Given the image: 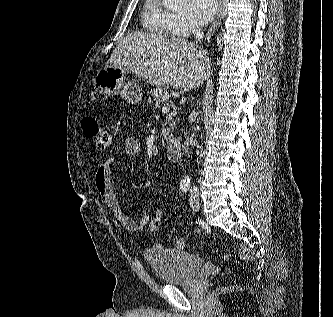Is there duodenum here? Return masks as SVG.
Instances as JSON below:
<instances>
[{"label": "duodenum", "instance_id": "410a0bca", "mask_svg": "<svg viewBox=\"0 0 333 317\" xmlns=\"http://www.w3.org/2000/svg\"><path fill=\"white\" fill-rule=\"evenodd\" d=\"M167 158L172 162H178L182 158V142L178 138L171 139L166 148Z\"/></svg>", "mask_w": 333, "mask_h": 317}]
</instances>
